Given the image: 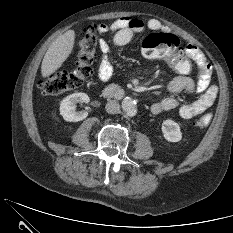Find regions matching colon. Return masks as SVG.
<instances>
[{
  "instance_id": "obj_1",
  "label": "colon",
  "mask_w": 233,
  "mask_h": 233,
  "mask_svg": "<svg viewBox=\"0 0 233 233\" xmlns=\"http://www.w3.org/2000/svg\"><path fill=\"white\" fill-rule=\"evenodd\" d=\"M97 30V25L85 30L72 70L56 72L41 81V89L45 94L56 95L72 91L87 82L91 76V66L95 59ZM142 50L147 58L164 59L170 68L178 74L187 75L192 71V60L180 47L178 37L172 33L149 34L142 43ZM212 117L211 112H206L197 120V126L200 128L208 126Z\"/></svg>"
}]
</instances>
